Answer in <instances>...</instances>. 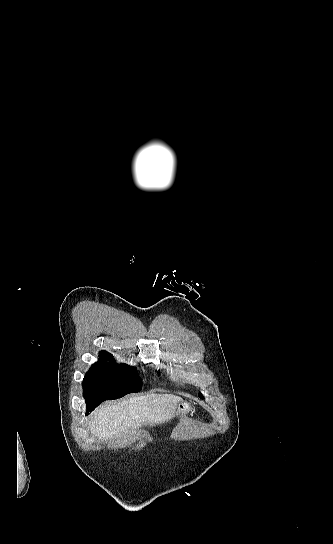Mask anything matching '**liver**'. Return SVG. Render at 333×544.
<instances>
[{"label": "liver", "mask_w": 333, "mask_h": 544, "mask_svg": "<svg viewBox=\"0 0 333 544\" xmlns=\"http://www.w3.org/2000/svg\"><path fill=\"white\" fill-rule=\"evenodd\" d=\"M181 398L169 394H147L107 406L97 412L90 423L91 433L104 440L127 434L145 425L168 422Z\"/></svg>", "instance_id": "6515ba94"}]
</instances>
